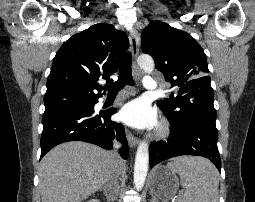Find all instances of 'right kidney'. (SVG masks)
<instances>
[{"mask_svg":"<svg viewBox=\"0 0 255 202\" xmlns=\"http://www.w3.org/2000/svg\"><path fill=\"white\" fill-rule=\"evenodd\" d=\"M87 202H100V201L97 200V199H91V200H89V201H87Z\"/></svg>","mask_w":255,"mask_h":202,"instance_id":"ca27d5eb","label":"right kidney"}]
</instances>
